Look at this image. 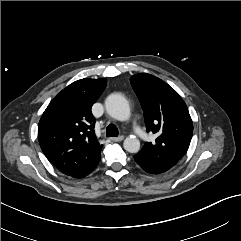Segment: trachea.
<instances>
[{
  "label": "trachea",
  "instance_id": "1",
  "mask_svg": "<svg viewBox=\"0 0 241 241\" xmlns=\"http://www.w3.org/2000/svg\"><path fill=\"white\" fill-rule=\"evenodd\" d=\"M119 134L118 129L115 125L109 124L106 129V136L107 137H117Z\"/></svg>",
  "mask_w": 241,
  "mask_h": 241
}]
</instances>
